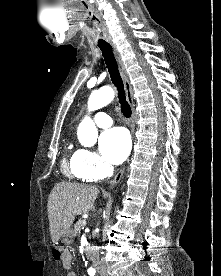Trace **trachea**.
Returning <instances> with one entry per match:
<instances>
[{"mask_svg": "<svg viewBox=\"0 0 221 276\" xmlns=\"http://www.w3.org/2000/svg\"><path fill=\"white\" fill-rule=\"evenodd\" d=\"M98 47L102 51L105 64L110 73L111 80L118 91V99L121 106V111L126 118H129L132 114L130 105L128 104L125 96L123 81L120 77L118 65L114 57L112 47L109 43L102 41L98 42Z\"/></svg>", "mask_w": 221, "mask_h": 276, "instance_id": "obj_1", "label": "trachea"}]
</instances>
